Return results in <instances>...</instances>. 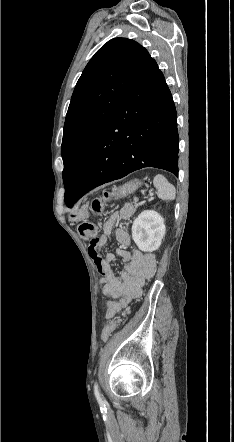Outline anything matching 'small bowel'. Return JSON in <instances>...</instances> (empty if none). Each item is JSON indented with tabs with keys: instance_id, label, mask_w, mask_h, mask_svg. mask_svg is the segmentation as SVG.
<instances>
[{
	"instance_id": "1",
	"label": "small bowel",
	"mask_w": 234,
	"mask_h": 442,
	"mask_svg": "<svg viewBox=\"0 0 234 442\" xmlns=\"http://www.w3.org/2000/svg\"><path fill=\"white\" fill-rule=\"evenodd\" d=\"M134 211V206L128 204L111 214L104 224L102 236L89 248V255L102 274L100 284L102 293L106 297V318L116 316L133 298L139 296L145 280L152 276L156 268V259L153 255L128 249L129 232L123 227H118L119 223L131 217ZM113 230H115L119 248L114 253L101 256L100 251ZM116 257H120L125 262V268L121 272H115L112 269L111 264Z\"/></svg>"
}]
</instances>
